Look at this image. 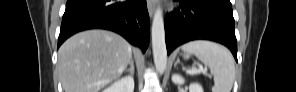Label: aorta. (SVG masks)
Returning <instances> with one entry per match:
<instances>
[{
    "mask_svg": "<svg viewBox=\"0 0 296 92\" xmlns=\"http://www.w3.org/2000/svg\"><path fill=\"white\" fill-rule=\"evenodd\" d=\"M151 36L155 68L158 73L163 74L167 66V49L163 13L160 7L156 9L154 14Z\"/></svg>",
    "mask_w": 296,
    "mask_h": 92,
    "instance_id": "762f6f07",
    "label": "aorta"
}]
</instances>
